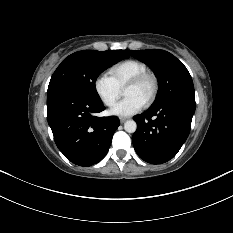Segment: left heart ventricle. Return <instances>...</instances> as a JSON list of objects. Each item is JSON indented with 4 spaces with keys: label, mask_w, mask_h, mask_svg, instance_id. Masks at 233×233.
Segmentation results:
<instances>
[{
    "label": "left heart ventricle",
    "mask_w": 233,
    "mask_h": 233,
    "mask_svg": "<svg viewBox=\"0 0 233 233\" xmlns=\"http://www.w3.org/2000/svg\"><path fill=\"white\" fill-rule=\"evenodd\" d=\"M152 91L151 81H146L138 86L127 87L124 89V96H135L141 99L144 103Z\"/></svg>",
    "instance_id": "left-heart-ventricle-1"
}]
</instances>
